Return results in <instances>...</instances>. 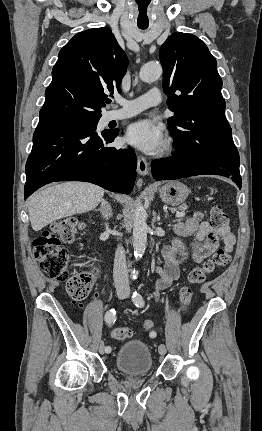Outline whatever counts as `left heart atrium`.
Here are the masks:
<instances>
[{
	"label": "left heart atrium",
	"instance_id": "left-heart-atrium-1",
	"mask_svg": "<svg viewBox=\"0 0 262 431\" xmlns=\"http://www.w3.org/2000/svg\"><path fill=\"white\" fill-rule=\"evenodd\" d=\"M125 140L145 153L159 151L165 142L162 129L150 120H139L132 123L126 132Z\"/></svg>",
	"mask_w": 262,
	"mask_h": 431
}]
</instances>
